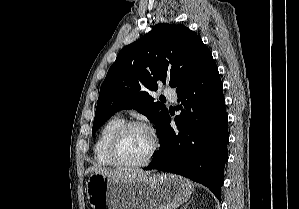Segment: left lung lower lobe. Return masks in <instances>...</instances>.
Returning a JSON list of instances; mask_svg holds the SVG:
<instances>
[{
    "label": "left lung lower lobe",
    "instance_id": "left-lung-lower-lobe-1",
    "mask_svg": "<svg viewBox=\"0 0 299 209\" xmlns=\"http://www.w3.org/2000/svg\"><path fill=\"white\" fill-rule=\"evenodd\" d=\"M176 92L182 109L175 117L177 128L170 127L168 113L157 130L161 148L144 169L190 178L208 187L220 200L229 134L223 86L214 59Z\"/></svg>",
    "mask_w": 299,
    "mask_h": 209
}]
</instances>
